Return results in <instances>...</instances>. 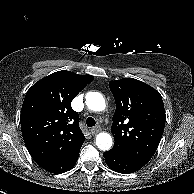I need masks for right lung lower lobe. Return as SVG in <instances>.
<instances>
[{
  "mask_svg": "<svg viewBox=\"0 0 194 194\" xmlns=\"http://www.w3.org/2000/svg\"><path fill=\"white\" fill-rule=\"evenodd\" d=\"M77 161V160H76ZM76 161L74 162V163H72V165L70 166V167H68L65 171H68V170H70L71 168H73L74 167V165H75V163H76ZM64 171V172H65ZM63 173V172H62Z\"/></svg>",
  "mask_w": 194,
  "mask_h": 194,
  "instance_id": "98d812e1",
  "label": "right lung lower lobe"
}]
</instances>
